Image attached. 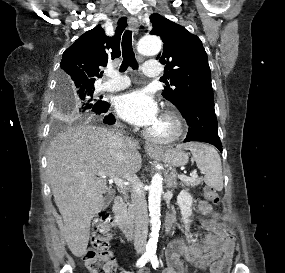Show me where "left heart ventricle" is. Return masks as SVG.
Listing matches in <instances>:
<instances>
[{
  "label": "left heart ventricle",
  "mask_w": 285,
  "mask_h": 273,
  "mask_svg": "<svg viewBox=\"0 0 285 273\" xmlns=\"http://www.w3.org/2000/svg\"><path fill=\"white\" fill-rule=\"evenodd\" d=\"M150 130L156 135L164 136L171 131V126L168 122L159 119Z\"/></svg>",
  "instance_id": "b2bd125f"
}]
</instances>
